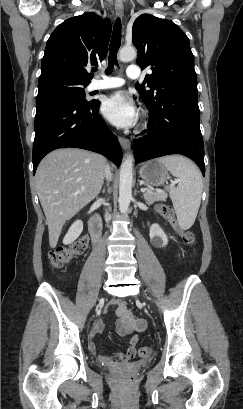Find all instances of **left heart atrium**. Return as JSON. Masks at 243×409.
Returning <instances> with one entry per match:
<instances>
[{
  "instance_id": "39dd6f15",
  "label": "left heart atrium",
  "mask_w": 243,
  "mask_h": 409,
  "mask_svg": "<svg viewBox=\"0 0 243 409\" xmlns=\"http://www.w3.org/2000/svg\"><path fill=\"white\" fill-rule=\"evenodd\" d=\"M102 112L117 127L132 126L137 120L135 104L125 91H117L108 96L103 102Z\"/></svg>"
}]
</instances>
